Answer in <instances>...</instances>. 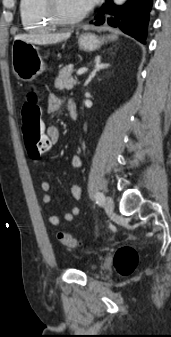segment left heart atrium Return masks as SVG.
<instances>
[{
    "mask_svg": "<svg viewBox=\"0 0 171 337\" xmlns=\"http://www.w3.org/2000/svg\"><path fill=\"white\" fill-rule=\"evenodd\" d=\"M84 10L92 8L99 0H77Z\"/></svg>",
    "mask_w": 171,
    "mask_h": 337,
    "instance_id": "obj_1",
    "label": "left heart atrium"
}]
</instances>
